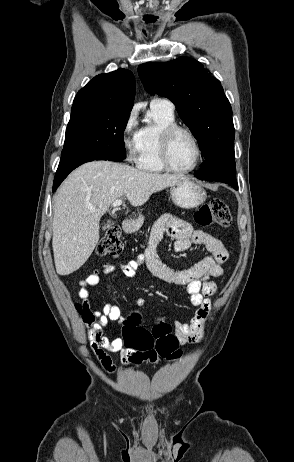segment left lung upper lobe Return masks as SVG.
<instances>
[{
  "label": "left lung upper lobe",
  "instance_id": "5c2ea615",
  "mask_svg": "<svg viewBox=\"0 0 294 462\" xmlns=\"http://www.w3.org/2000/svg\"><path fill=\"white\" fill-rule=\"evenodd\" d=\"M138 74L147 92L167 97L175 104L206 160L234 157L231 105L220 81L201 63L186 57L148 62L138 67Z\"/></svg>",
  "mask_w": 294,
  "mask_h": 462
}]
</instances>
